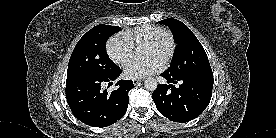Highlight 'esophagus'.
<instances>
[{
  "label": "esophagus",
  "instance_id": "34e87169",
  "mask_svg": "<svg viewBox=\"0 0 276 138\" xmlns=\"http://www.w3.org/2000/svg\"><path fill=\"white\" fill-rule=\"evenodd\" d=\"M141 81H142V80H139V79H133V80H132L133 84H135V85L138 84V83H140Z\"/></svg>",
  "mask_w": 276,
  "mask_h": 138
}]
</instances>
